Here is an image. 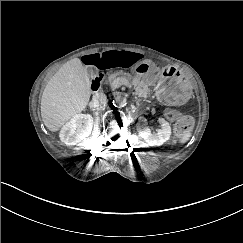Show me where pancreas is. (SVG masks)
<instances>
[{"label": "pancreas", "mask_w": 243, "mask_h": 243, "mask_svg": "<svg viewBox=\"0 0 243 243\" xmlns=\"http://www.w3.org/2000/svg\"><path fill=\"white\" fill-rule=\"evenodd\" d=\"M123 77L132 79L133 84H134L135 94L138 97L147 98L149 96V94L151 93V89L146 84L142 85L140 81L136 82L135 78H133L132 75L122 74V77H121V75L119 73H114L109 76H106L105 80L109 81V83L111 85L114 84L115 87L117 88L123 84V81H124ZM113 89H115V88H113Z\"/></svg>", "instance_id": "1"}]
</instances>
